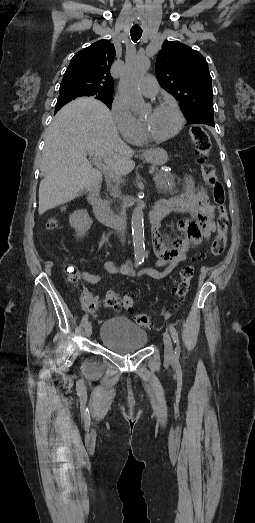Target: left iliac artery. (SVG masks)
<instances>
[{"label": "left iliac artery", "mask_w": 255, "mask_h": 523, "mask_svg": "<svg viewBox=\"0 0 255 523\" xmlns=\"http://www.w3.org/2000/svg\"><path fill=\"white\" fill-rule=\"evenodd\" d=\"M169 331L171 333L174 343L176 344L175 357H176V359H178L180 356V345H179L178 333L173 325H169Z\"/></svg>", "instance_id": "left-iliac-artery-1"}]
</instances>
